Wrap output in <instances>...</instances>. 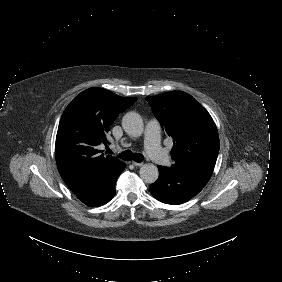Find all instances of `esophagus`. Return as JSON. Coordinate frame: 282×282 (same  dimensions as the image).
I'll list each match as a JSON object with an SVG mask.
<instances>
[{
	"label": "esophagus",
	"mask_w": 282,
	"mask_h": 282,
	"mask_svg": "<svg viewBox=\"0 0 282 282\" xmlns=\"http://www.w3.org/2000/svg\"><path fill=\"white\" fill-rule=\"evenodd\" d=\"M133 165L136 167H141L143 165V163H138L136 161H132Z\"/></svg>",
	"instance_id": "34e87169"
}]
</instances>
